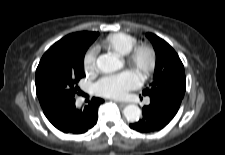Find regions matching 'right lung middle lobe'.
<instances>
[{
    "label": "right lung middle lobe",
    "instance_id": "dd1d6c3e",
    "mask_svg": "<svg viewBox=\"0 0 225 155\" xmlns=\"http://www.w3.org/2000/svg\"><path fill=\"white\" fill-rule=\"evenodd\" d=\"M87 48L53 49L44 54L36 70V90L47 100L74 98L84 77Z\"/></svg>",
    "mask_w": 225,
    "mask_h": 155
}]
</instances>
